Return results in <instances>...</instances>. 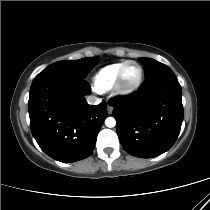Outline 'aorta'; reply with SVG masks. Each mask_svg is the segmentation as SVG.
Listing matches in <instances>:
<instances>
[{
	"label": "aorta",
	"mask_w": 210,
	"mask_h": 210,
	"mask_svg": "<svg viewBox=\"0 0 210 210\" xmlns=\"http://www.w3.org/2000/svg\"><path fill=\"white\" fill-rule=\"evenodd\" d=\"M105 124L107 127L112 128L116 125V120L113 117H108L105 120Z\"/></svg>",
	"instance_id": "obj_1"
}]
</instances>
